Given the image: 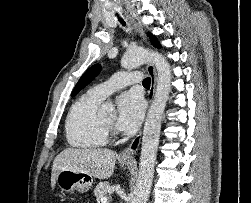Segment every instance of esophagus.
Returning a JSON list of instances; mask_svg holds the SVG:
<instances>
[{"label": "esophagus", "instance_id": "34e87169", "mask_svg": "<svg viewBox=\"0 0 251 203\" xmlns=\"http://www.w3.org/2000/svg\"><path fill=\"white\" fill-rule=\"evenodd\" d=\"M131 22L133 23L134 27L136 28V30L140 33L141 36H143V38H145L143 31L140 29V27L136 24V22L134 21V19L132 17H130ZM146 70L148 75L151 78V86L148 92V101L149 103L152 102L153 97H154V93H155V87H156V81H157V74H156V70L153 64L149 63L146 66ZM140 142H141V133L138 134L130 143V145L122 151V153L120 154V158L124 159V160H131L133 159L135 153L137 152L139 146H140Z\"/></svg>", "mask_w": 251, "mask_h": 203}]
</instances>
